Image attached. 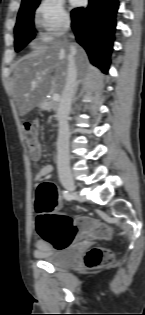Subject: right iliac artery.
Segmentation results:
<instances>
[{"label": "right iliac artery", "instance_id": "82829eb1", "mask_svg": "<svg viewBox=\"0 0 145 315\" xmlns=\"http://www.w3.org/2000/svg\"><path fill=\"white\" fill-rule=\"evenodd\" d=\"M62 194L63 197L68 201H71L73 199V196L67 190H63Z\"/></svg>", "mask_w": 145, "mask_h": 315}]
</instances>
